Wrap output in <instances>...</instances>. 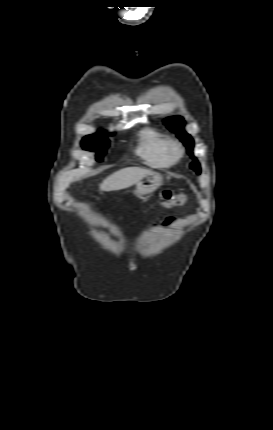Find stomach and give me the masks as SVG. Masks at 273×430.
I'll return each mask as SVG.
<instances>
[{
	"label": "stomach",
	"instance_id": "obj_1",
	"mask_svg": "<svg viewBox=\"0 0 273 430\" xmlns=\"http://www.w3.org/2000/svg\"><path fill=\"white\" fill-rule=\"evenodd\" d=\"M163 182V178L159 173H151L146 175L137 182V193L140 195H148L157 190Z\"/></svg>",
	"mask_w": 273,
	"mask_h": 430
}]
</instances>
